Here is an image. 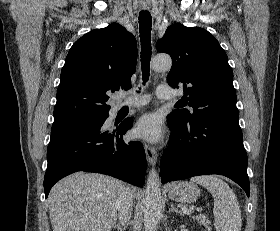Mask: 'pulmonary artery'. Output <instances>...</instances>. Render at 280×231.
Returning <instances> with one entry per match:
<instances>
[{"label": "pulmonary artery", "instance_id": "e3ab8cb5", "mask_svg": "<svg viewBox=\"0 0 280 231\" xmlns=\"http://www.w3.org/2000/svg\"><path fill=\"white\" fill-rule=\"evenodd\" d=\"M157 97L162 99V100H169L177 95V92L172 90L168 85L161 84L157 87L156 91ZM149 100L148 95H144L141 97L139 101L133 102L129 105H127L129 108H135V107H140L144 104L147 103Z\"/></svg>", "mask_w": 280, "mask_h": 231}]
</instances>
